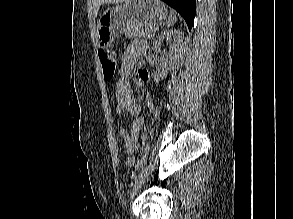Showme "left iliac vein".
Segmentation results:
<instances>
[{
	"mask_svg": "<svg viewBox=\"0 0 293 219\" xmlns=\"http://www.w3.org/2000/svg\"><path fill=\"white\" fill-rule=\"evenodd\" d=\"M144 176H145V173H143V172L138 176V178H137V180L135 182V185L133 187L130 199H133L136 196V194L138 193L139 188H140V186H141V184H142V182L144 180Z\"/></svg>",
	"mask_w": 293,
	"mask_h": 219,
	"instance_id": "left-iliac-vein-1",
	"label": "left iliac vein"
}]
</instances>
